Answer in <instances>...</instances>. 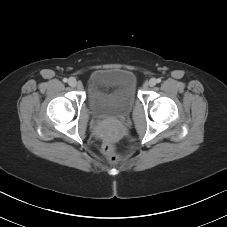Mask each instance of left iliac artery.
Wrapping results in <instances>:
<instances>
[{
  "instance_id": "1",
  "label": "left iliac artery",
  "mask_w": 227,
  "mask_h": 227,
  "mask_svg": "<svg viewBox=\"0 0 227 227\" xmlns=\"http://www.w3.org/2000/svg\"><path fill=\"white\" fill-rule=\"evenodd\" d=\"M156 81H157V83H160V82H161V79H160V78H158Z\"/></svg>"
}]
</instances>
